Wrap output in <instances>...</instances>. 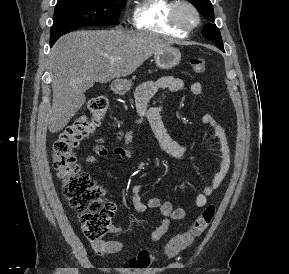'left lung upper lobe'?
I'll list each match as a JSON object with an SVG mask.
<instances>
[{
	"label": "left lung upper lobe",
	"mask_w": 289,
	"mask_h": 274,
	"mask_svg": "<svg viewBox=\"0 0 289 274\" xmlns=\"http://www.w3.org/2000/svg\"><path fill=\"white\" fill-rule=\"evenodd\" d=\"M189 1L197 8V10L207 20L210 21V23L204 26L202 30V35L209 40H213L218 48L224 50L222 38L220 36V31L215 24H212L214 22V11L210 0H189Z\"/></svg>",
	"instance_id": "obj_1"
}]
</instances>
